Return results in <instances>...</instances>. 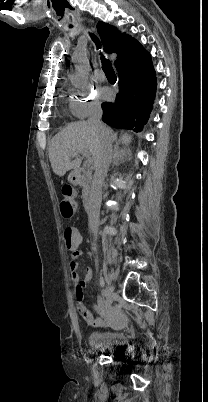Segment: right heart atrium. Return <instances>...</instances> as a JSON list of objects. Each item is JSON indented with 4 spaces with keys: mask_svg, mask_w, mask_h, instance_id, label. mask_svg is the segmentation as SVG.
Wrapping results in <instances>:
<instances>
[{
    "mask_svg": "<svg viewBox=\"0 0 208 402\" xmlns=\"http://www.w3.org/2000/svg\"><path fill=\"white\" fill-rule=\"evenodd\" d=\"M101 102L93 86L76 88L73 95L72 111L79 119L100 110Z\"/></svg>",
    "mask_w": 208,
    "mask_h": 402,
    "instance_id": "1",
    "label": "right heart atrium"
}]
</instances>
